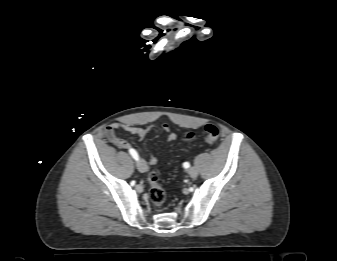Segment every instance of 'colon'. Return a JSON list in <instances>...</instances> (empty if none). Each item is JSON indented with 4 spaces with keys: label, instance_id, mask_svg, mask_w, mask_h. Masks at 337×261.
Here are the masks:
<instances>
[{
    "label": "colon",
    "instance_id": "obj_1",
    "mask_svg": "<svg viewBox=\"0 0 337 261\" xmlns=\"http://www.w3.org/2000/svg\"><path fill=\"white\" fill-rule=\"evenodd\" d=\"M219 129L213 124H207L204 127L202 139L206 143H213L218 139ZM196 138L194 133H188L182 137L183 141H191ZM147 183L149 185L150 199L156 207H161L166 199V193L158 181V174L155 171H150L147 175Z\"/></svg>",
    "mask_w": 337,
    "mask_h": 261
}]
</instances>
